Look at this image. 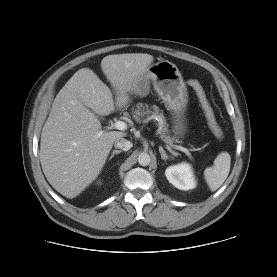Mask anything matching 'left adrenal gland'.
<instances>
[{
    "instance_id": "1",
    "label": "left adrenal gland",
    "mask_w": 277,
    "mask_h": 277,
    "mask_svg": "<svg viewBox=\"0 0 277 277\" xmlns=\"http://www.w3.org/2000/svg\"><path fill=\"white\" fill-rule=\"evenodd\" d=\"M159 152H160L161 158H162L163 160H167L168 158H172V156H168V155L166 154V152H165V150L163 149L162 146H159Z\"/></svg>"
}]
</instances>
